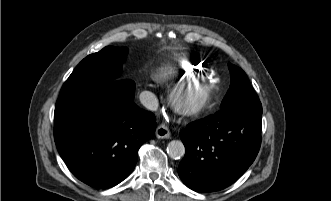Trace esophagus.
I'll use <instances>...</instances> for the list:
<instances>
[{"label":"esophagus","instance_id":"1","mask_svg":"<svg viewBox=\"0 0 331 201\" xmlns=\"http://www.w3.org/2000/svg\"><path fill=\"white\" fill-rule=\"evenodd\" d=\"M155 134L159 139H168L171 136L168 127L164 124H161L157 127Z\"/></svg>","mask_w":331,"mask_h":201}]
</instances>
